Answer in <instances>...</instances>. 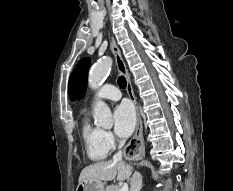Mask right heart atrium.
Segmentation results:
<instances>
[{"label": "right heart atrium", "mask_w": 233, "mask_h": 191, "mask_svg": "<svg viewBox=\"0 0 233 191\" xmlns=\"http://www.w3.org/2000/svg\"><path fill=\"white\" fill-rule=\"evenodd\" d=\"M102 143L105 149L109 152L116 148L118 141L110 131L102 130Z\"/></svg>", "instance_id": "1"}]
</instances>
